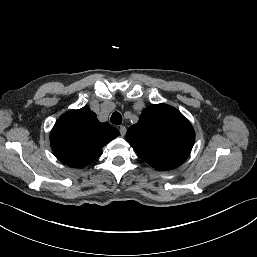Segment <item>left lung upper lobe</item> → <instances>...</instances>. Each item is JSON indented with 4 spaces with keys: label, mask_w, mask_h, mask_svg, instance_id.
Listing matches in <instances>:
<instances>
[{
    "label": "left lung upper lobe",
    "mask_w": 257,
    "mask_h": 257,
    "mask_svg": "<svg viewBox=\"0 0 257 257\" xmlns=\"http://www.w3.org/2000/svg\"><path fill=\"white\" fill-rule=\"evenodd\" d=\"M138 156L158 170L181 165L191 152L195 132L174 107L154 104L144 109L139 121L126 133Z\"/></svg>",
    "instance_id": "1"
}]
</instances>
